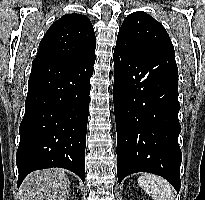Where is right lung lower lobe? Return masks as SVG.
Here are the masks:
<instances>
[{
    "instance_id": "obj_1",
    "label": "right lung lower lobe",
    "mask_w": 205,
    "mask_h": 200,
    "mask_svg": "<svg viewBox=\"0 0 205 200\" xmlns=\"http://www.w3.org/2000/svg\"><path fill=\"white\" fill-rule=\"evenodd\" d=\"M95 51L70 60L35 59L16 155L19 178L38 169L62 167L85 181L90 78Z\"/></svg>"
}]
</instances>
